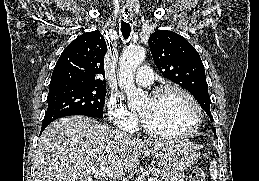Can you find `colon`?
Masks as SVG:
<instances>
[{
  "instance_id": "colon-1",
  "label": "colon",
  "mask_w": 259,
  "mask_h": 181,
  "mask_svg": "<svg viewBox=\"0 0 259 181\" xmlns=\"http://www.w3.org/2000/svg\"><path fill=\"white\" fill-rule=\"evenodd\" d=\"M191 181H206L204 173L200 169H196L191 176Z\"/></svg>"
}]
</instances>
